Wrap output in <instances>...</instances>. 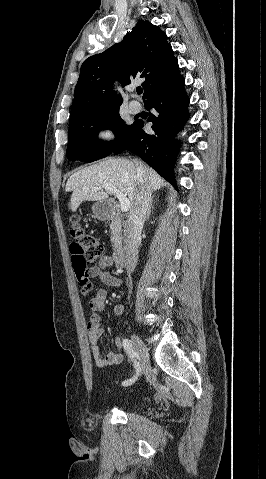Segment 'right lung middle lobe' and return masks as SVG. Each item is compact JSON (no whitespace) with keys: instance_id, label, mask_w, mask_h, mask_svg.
<instances>
[{"instance_id":"right-lung-middle-lobe-1","label":"right lung middle lobe","mask_w":266,"mask_h":479,"mask_svg":"<svg viewBox=\"0 0 266 479\" xmlns=\"http://www.w3.org/2000/svg\"><path fill=\"white\" fill-rule=\"evenodd\" d=\"M132 125H124L119 108L70 121L67 157L69 160L93 162L111 154L124 140ZM112 129L116 138L110 144L98 141L101 129Z\"/></svg>"}]
</instances>
